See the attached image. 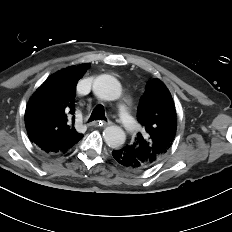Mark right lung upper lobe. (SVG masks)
<instances>
[{"instance_id":"obj_1","label":"right lung upper lobe","mask_w":232,"mask_h":232,"mask_svg":"<svg viewBox=\"0 0 232 232\" xmlns=\"http://www.w3.org/2000/svg\"><path fill=\"white\" fill-rule=\"evenodd\" d=\"M89 66H70L52 74L30 97L25 126L30 141L43 152L65 153L83 138L74 128V101L77 82Z\"/></svg>"}]
</instances>
